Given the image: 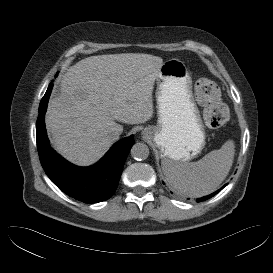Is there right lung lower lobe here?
I'll use <instances>...</instances> for the list:
<instances>
[{
	"label": "right lung lower lobe",
	"instance_id": "right-lung-lower-lobe-1",
	"mask_svg": "<svg viewBox=\"0 0 273 273\" xmlns=\"http://www.w3.org/2000/svg\"><path fill=\"white\" fill-rule=\"evenodd\" d=\"M53 84H50L39 106L36 137L39 158L50 180L65 194L84 203H98L109 199L115 192L129 150L134 144L133 135L118 141L108 153L91 167L75 166L50 146L45 113Z\"/></svg>",
	"mask_w": 273,
	"mask_h": 273
}]
</instances>
